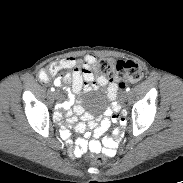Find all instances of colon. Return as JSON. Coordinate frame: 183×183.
Returning <instances> with one entry per match:
<instances>
[{
  "mask_svg": "<svg viewBox=\"0 0 183 183\" xmlns=\"http://www.w3.org/2000/svg\"><path fill=\"white\" fill-rule=\"evenodd\" d=\"M96 68L103 77L114 81L118 89L123 88L127 83L137 82L143 77L142 66L131 60L102 58L96 63ZM54 73V70L45 69L40 73V79L50 80L55 75ZM86 157L97 165L105 162L104 158L98 155L87 154Z\"/></svg>",
  "mask_w": 183,
  "mask_h": 183,
  "instance_id": "obj_1",
  "label": "colon"
}]
</instances>
